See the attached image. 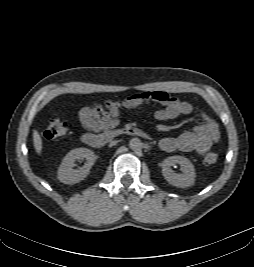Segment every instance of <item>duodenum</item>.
<instances>
[{
  "mask_svg": "<svg viewBox=\"0 0 254 267\" xmlns=\"http://www.w3.org/2000/svg\"><path fill=\"white\" fill-rule=\"evenodd\" d=\"M123 133L131 136H137L142 138H148V135L141 129L135 127H129L123 130ZM117 131H106L100 134L86 133L83 135L82 140L88 146L93 148L103 147L110 139L117 136Z\"/></svg>",
  "mask_w": 254,
  "mask_h": 267,
  "instance_id": "410a0bca",
  "label": "duodenum"
}]
</instances>
